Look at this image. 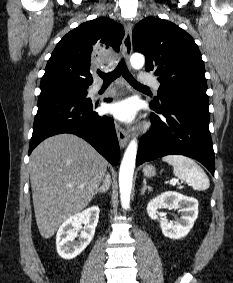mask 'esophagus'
Listing matches in <instances>:
<instances>
[{"instance_id": "1", "label": "esophagus", "mask_w": 233, "mask_h": 283, "mask_svg": "<svg viewBox=\"0 0 233 283\" xmlns=\"http://www.w3.org/2000/svg\"><path fill=\"white\" fill-rule=\"evenodd\" d=\"M132 49V24L128 22L125 26V36L122 42L123 54L127 61L130 58ZM116 133L120 147L124 148L130 139V135L119 124H116Z\"/></svg>"}]
</instances>
